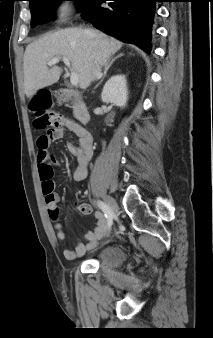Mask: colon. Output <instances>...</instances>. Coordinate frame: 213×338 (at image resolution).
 I'll return each mask as SVG.
<instances>
[{"instance_id": "colon-1", "label": "colon", "mask_w": 213, "mask_h": 338, "mask_svg": "<svg viewBox=\"0 0 213 338\" xmlns=\"http://www.w3.org/2000/svg\"><path fill=\"white\" fill-rule=\"evenodd\" d=\"M58 104H69L65 97L56 98ZM53 97L49 92H40L36 94L30 104L31 110L35 114V124L38 128L46 129L47 136H51L53 130L63 124L62 115L52 111ZM42 189L45 196H49L53 192V174L52 171L43 172L41 174Z\"/></svg>"}]
</instances>
